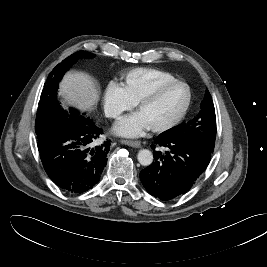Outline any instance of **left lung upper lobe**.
I'll return each mask as SVG.
<instances>
[{"label": "left lung upper lobe", "mask_w": 267, "mask_h": 267, "mask_svg": "<svg viewBox=\"0 0 267 267\" xmlns=\"http://www.w3.org/2000/svg\"><path fill=\"white\" fill-rule=\"evenodd\" d=\"M198 115L187 123L173 127L160 135L168 138L192 139L213 152L216 137V115L210 93L207 91Z\"/></svg>", "instance_id": "5c2ea615"}]
</instances>
